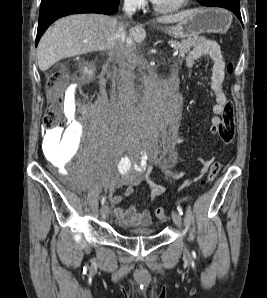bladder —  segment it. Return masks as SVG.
Returning <instances> with one entry per match:
<instances>
[{
  "mask_svg": "<svg viewBox=\"0 0 267 298\" xmlns=\"http://www.w3.org/2000/svg\"><path fill=\"white\" fill-rule=\"evenodd\" d=\"M126 234L129 235V236H133V235H135V233H133L132 231H128ZM151 235H153V231H150V232L147 233V234H142V235H140V236H151Z\"/></svg>",
  "mask_w": 267,
  "mask_h": 298,
  "instance_id": "bladder-1",
  "label": "bladder"
}]
</instances>
